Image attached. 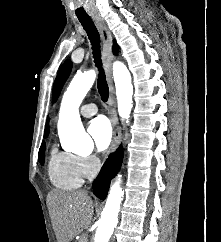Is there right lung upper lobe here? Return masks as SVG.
<instances>
[{
    "mask_svg": "<svg viewBox=\"0 0 221 242\" xmlns=\"http://www.w3.org/2000/svg\"><path fill=\"white\" fill-rule=\"evenodd\" d=\"M113 52L116 54L114 49H113ZM48 134H49V123L47 122L46 126H45V134H44V136H48Z\"/></svg>",
    "mask_w": 221,
    "mask_h": 242,
    "instance_id": "cb5924a9",
    "label": "right lung upper lobe"
}]
</instances>
